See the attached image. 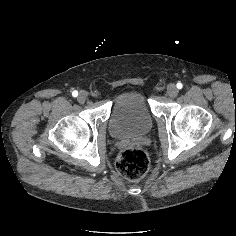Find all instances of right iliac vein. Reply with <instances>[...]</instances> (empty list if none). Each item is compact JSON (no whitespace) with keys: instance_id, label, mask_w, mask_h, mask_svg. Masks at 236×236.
Instances as JSON below:
<instances>
[{"instance_id":"right-iliac-vein-1","label":"right iliac vein","mask_w":236,"mask_h":236,"mask_svg":"<svg viewBox=\"0 0 236 236\" xmlns=\"http://www.w3.org/2000/svg\"><path fill=\"white\" fill-rule=\"evenodd\" d=\"M88 98V93L86 91H81L78 95V102L79 103H84Z\"/></svg>"}]
</instances>
